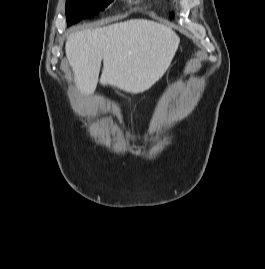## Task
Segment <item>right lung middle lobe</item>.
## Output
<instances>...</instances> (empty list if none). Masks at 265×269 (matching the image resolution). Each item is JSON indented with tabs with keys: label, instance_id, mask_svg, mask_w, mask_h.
Here are the masks:
<instances>
[{
	"label": "right lung middle lobe",
	"instance_id": "1",
	"mask_svg": "<svg viewBox=\"0 0 265 269\" xmlns=\"http://www.w3.org/2000/svg\"><path fill=\"white\" fill-rule=\"evenodd\" d=\"M113 0H67V24L71 25L81 19L92 17L104 10Z\"/></svg>",
	"mask_w": 265,
	"mask_h": 269
}]
</instances>
